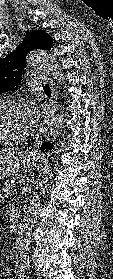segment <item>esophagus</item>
Listing matches in <instances>:
<instances>
[{
    "instance_id": "esophagus-1",
    "label": "esophagus",
    "mask_w": 113,
    "mask_h": 279,
    "mask_svg": "<svg viewBox=\"0 0 113 279\" xmlns=\"http://www.w3.org/2000/svg\"><path fill=\"white\" fill-rule=\"evenodd\" d=\"M50 89H51V97L49 101L50 104L49 112L45 116L43 122L41 123V127H43V125L47 122V120H49L50 116L54 115L57 109V89L53 80H50ZM35 142H36V148H38L42 142V135L40 133L36 135Z\"/></svg>"
}]
</instances>
